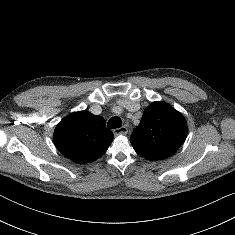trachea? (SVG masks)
I'll list each match as a JSON object with an SVG mask.
<instances>
[{"label": "trachea", "mask_w": 235, "mask_h": 235, "mask_svg": "<svg viewBox=\"0 0 235 235\" xmlns=\"http://www.w3.org/2000/svg\"><path fill=\"white\" fill-rule=\"evenodd\" d=\"M121 126H122L121 119L116 116L110 118V120L108 121V124H107V127L109 129H116V128H120Z\"/></svg>", "instance_id": "3493384b"}]
</instances>
